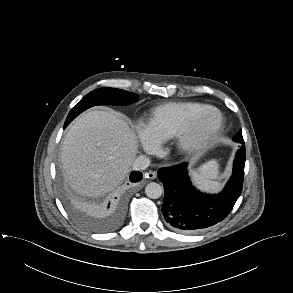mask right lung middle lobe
<instances>
[{
  "label": "right lung middle lobe",
  "mask_w": 293,
  "mask_h": 293,
  "mask_svg": "<svg viewBox=\"0 0 293 293\" xmlns=\"http://www.w3.org/2000/svg\"><path fill=\"white\" fill-rule=\"evenodd\" d=\"M138 98L139 96L137 94L115 88H99L91 91L70 111L65 121L64 128L80 113L92 106L110 104L128 105L136 102ZM70 209L75 218L85 227L92 230H104L106 228L104 225L97 223L71 205Z\"/></svg>",
  "instance_id": "1"
}]
</instances>
